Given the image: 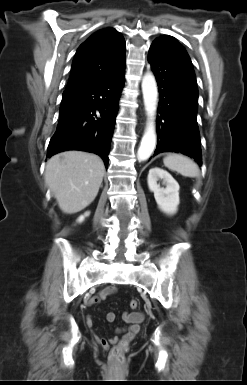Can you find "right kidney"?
<instances>
[{
  "mask_svg": "<svg viewBox=\"0 0 247 385\" xmlns=\"http://www.w3.org/2000/svg\"><path fill=\"white\" fill-rule=\"evenodd\" d=\"M89 214H90L89 212L84 213V215H81V216L77 219V222H79V223L83 222V221L85 220V218L89 216Z\"/></svg>",
  "mask_w": 247,
  "mask_h": 385,
  "instance_id": "1",
  "label": "right kidney"
}]
</instances>
